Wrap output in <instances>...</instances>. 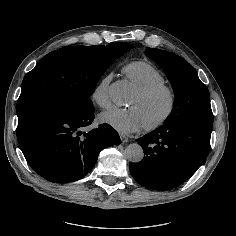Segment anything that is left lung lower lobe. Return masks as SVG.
<instances>
[{"label":"left lung lower lobe","instance_id":"left-lung-lower-lobe-1","mask_svg":"<svg viewBox=\"0 0 236 236\" xmlns=\"http://www.w3.org/2000/svg\"><path fill=\"white\" fill-rule=\"evenodd\" d=\"M213 123L186 121L161 128L137 139L144 158L129 166L142 186L154 190L175 188L189 179L210 150Z\"/></svg>","mask_w":236,"mask_h":236}]
</instances>
